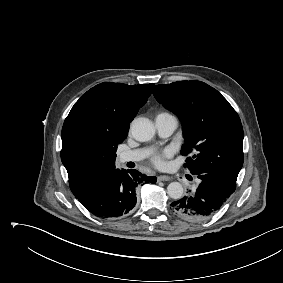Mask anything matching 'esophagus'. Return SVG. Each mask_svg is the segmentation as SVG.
I'll use <instances>...</instances> for the list:
<instances>
[{"instance_id":"1","label":"esophagus","mask_w":283,"mask_h":283,"mask_svg":"<svg viewBox=\"0 0 283 283\" xmlns=\"http://www.w3.org/2000/svg\"><path fill=\"white\" fill-rule=\"evenodd\" d=\"M157 180L158 181H170L171 178L169 176H166V175H160L157 177Z\"/></svg>"}]
</instances>
